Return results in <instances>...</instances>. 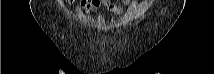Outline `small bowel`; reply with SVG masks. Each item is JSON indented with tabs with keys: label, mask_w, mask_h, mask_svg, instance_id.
Listing matches in <instances>:
<instances>
[{
	"label": "small bowel",
	"mask_w": 214,
	"mask_h": 74,
	"mask_svg": "<svg viewBox=\"0 0 214 74\" xmlns=\"http://www.w3.org/2000/svg\"><path fill=\"white\" fill-rule=\"evenodd\" d=\"M131 1L127 0L126 3H130ZM78 4L82 7L84 12L88 15H94L99 7L104 6L110 12L115 14H120L121 9L108 2V1H98V0H88V1H78Z\"/></svg>",
	"instance_id": "small-bowel-1"
}]
</instances>
